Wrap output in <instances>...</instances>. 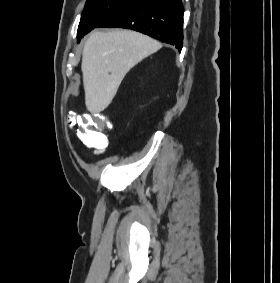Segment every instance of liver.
Returning <instances> with one entry per match:
<instances>
[{"mask_svg": "<svg viewBox=\"0 0 280 283\" xmlns=\"http://www.w3.org/2000/svg\"><path fill=\"white\" fill-rule=\"evenodd\" d=\"M160 47L154 39L135 31L93 32L84 45L81 64L88 111L106 109L126 73Z\"/></svg>", "mask_w": 280, "mask_h": 283, "instance_id": "liver-1", "label": "liver"}]
</instances>
